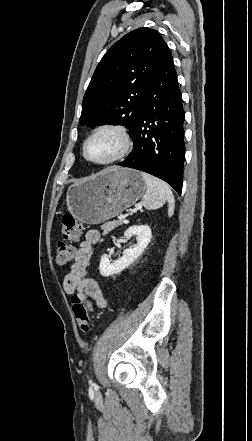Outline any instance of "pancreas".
<instances>
[{
	"label": "pancreas",
	"mask_w": 252,
	"mask_h": 441,
	"mask_svg": "<svg viewBox=\"0 0 252 441\" xmlns=\"http://www.w3.org/2000/svg\"><path fill=\"white\" fill-rule=\"evenodd\" d=\"M122 224H123L122 221H115V220L104 223L103 225H101V229L103 230V235L108 234L110 231H112L113 229H115L116 227Z\"/></svg>",
	"instance_id": "1"
}]
</instances>
